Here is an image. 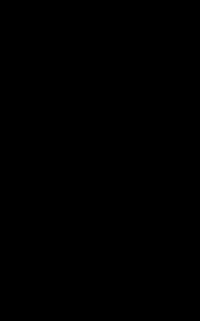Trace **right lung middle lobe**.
I'll use <instances>...</instances> for the list:
<instances>
[{
	"label": "right lung middle lobe",
	"instance_id": "right-lung-middle-lobe-1",
	"mask_svg": "<svg viewBox=\"0 0 200 321\" xmlns=\"http://www.w3.org/2000/svg\"><path fill=\"white\" fill-rule=\"evenodd\" d=\"M69 165L49 152H32L23 161V169L35 178L62 185L69 181Z\"/></svg>",
	"mask_w": 200,
	"mask_h": 321
}]
</instances>
